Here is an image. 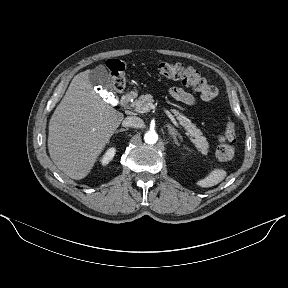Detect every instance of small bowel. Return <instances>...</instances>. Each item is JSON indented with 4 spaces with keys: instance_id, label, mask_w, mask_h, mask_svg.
Segmentation results:
<instances>
[{
    "instance_id": "c3829d8e",
    "label": "small bowel",
    "mask_w": 288,
    "mask_h": 288,
    "mask_svg": "<svg viewBox=\"0 0 288 288\" xmlns=\"http://www.w3.org/2000/svg\"><path fill=\"white\" fill-rule=\"evenodd\" d=\"M169 93L175 100L183 104L191 106L195 103L194 96L191 93L185 91L183 88L172 87L170 88Z\"/></svg>"
}]
</instances>
